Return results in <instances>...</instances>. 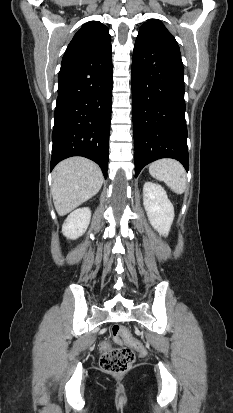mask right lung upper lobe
Masks as SVG:
<instances>
[{"mask_svg": "<svg viewBox=\"0 0 233 413\" xmlns=\"http://www.w3.org/2000/svg\"><path fill=\"white\" fill-rule=\"evenodd\" d=\"M108 28L98 21L85 23L69 43L62 61L87 56L110 46Z\"/></svg>", "mask_w": 233, "mask_h": 413, "instance_id": "cb5924a9", "label": "right lung upper lobe"}]
</instances>
